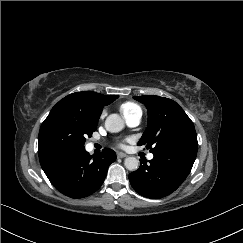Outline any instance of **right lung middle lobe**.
I'll use <instances>...</instances> for the list:
<instances>
[{"label": "right lung middle lobe", "mask_w": 243, "mask_h": 243, "mask_svg": "<svg viewBox=\"0 0 243 243\" xmlns=\"http://www.w3.org/2000/svg\"><path fill=\"white\" fill-rule=\"evenodd\" d=\"M96 128L97 121L56 104L41 125L38 155L61 150L84 149L86 138L91 137Z\"/></svg>", "instance_id": "dd1d6c3e"}]
</instances>
